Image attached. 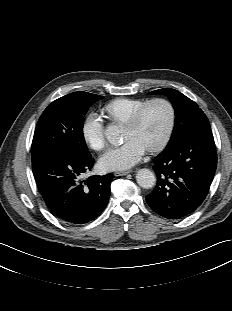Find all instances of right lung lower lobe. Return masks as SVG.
Returning a JSON list of instances; mask_svg holds the SVG:
<instances>
[{"label": "right lung lower lobe", "instance_id": "98d812e1", "mask_svg": "<svg viewBox=\"0 0 232 311\" xmlns=\"http://www.w3.org/2000/svg\"><path fill=\"white\" fill-rule=\"evenodd\" d=\"M94 160L70 153L47 151L32 157L33 174L38 189L54 215L72 224H83L97 218L110 197L112 174L80 175L90 170Z\"/></svg>", "mask_w": 232, "mask_h": 311}]
</instances>
